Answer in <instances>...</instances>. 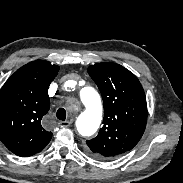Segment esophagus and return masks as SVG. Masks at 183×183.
Listing matches in <instances>:
<instances>
[{"label":"esophagus","mask_w":183,"mask_h":183,"mask_svg":"<svg viewBox=\"0 0 183 183\" xmlns=\"http://www.w3.org/2000/svg\"><path fill=\"white\" fill-rule=\"evenodd\" d=\"M71 123H72V120L61 121V122L59 123V125H60L61 127H69V126L71 125Z\"/></svg>","instance_id":"esophagus-1"}]
</instances>
